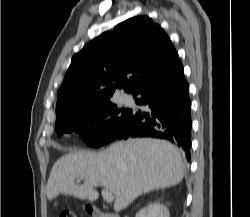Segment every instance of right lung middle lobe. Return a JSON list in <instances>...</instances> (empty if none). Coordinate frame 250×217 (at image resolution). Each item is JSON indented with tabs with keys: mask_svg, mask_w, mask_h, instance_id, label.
Returning a JSON list of instances; mask_svg holds the SVG:
<instances>
[{
	"mask_svg": "<svg viewBox=\"0 0 250 217\" xmlns=\"http://www.w3.org/2000/svg\"><path fill=\"white\" fill-rule=\"evenodd\" d=\"M131 110L118 109L111 101L74 111L56 121L57 135L81 132L86 125L97 122L93 128L82 132V139L90 147H100L118 136L129 121Z\"/></svg>",
	"mask_w": 250,
	"mask_h": 217,
	"instance_id": "right-lung-middle-lobe-1",
	"label": "right lung middle lobe"
}]
</instances>
